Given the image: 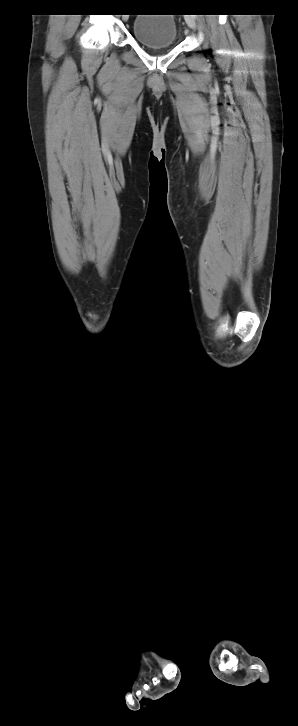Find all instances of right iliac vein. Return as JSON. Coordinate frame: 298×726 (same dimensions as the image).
I'll use <instances>...</instances> for the list:
<instances>
[{
    "label": "right iliac vein",
    "instance_id": "63e3f726",
    "mask_svg": "<svg viewBox=\"0 0 298 726\" xmlns=\"http://www.w3.org/2000/svg\"><path fill=\"white\" fill-rule=\"evenodd\" d=\"M124 20H127V17H124Z\"/></svg>",
    "mask_w": 298,
    "mask_h": 726
}]
</instances>
